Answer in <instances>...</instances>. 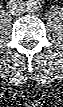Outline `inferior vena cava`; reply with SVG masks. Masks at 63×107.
<instances>
[{"mask_svg": "<svg viewBox=\"0 0 63 107\" xmlns=\"http://www.w3.org/2000/svg\"><path fill=\"white\" fill-rule=\"evenodd\" d=\"M7 9L13 15L23 14L26 11L25 3L21 1H10L7 4Z\"/></svg>", "mask_w": 63, "mask_h": 107, "instance_id": "inferior-vena-cava-1", "label": "inferior vena cava"}]
</instances>
